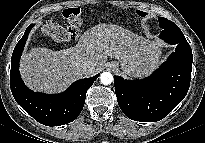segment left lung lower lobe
<instances>
[{"label":"left lung lower lobe","mask_w":205,"mask_h":143,"mask_svg":"<svg viewBox=\"0 0 205 143\" xmlns=\"http://www.w3.org/2000/svg\"><path fill=\"white\" fill-rule=\"evenodd\" d=\"M160 38L177 46L153 74L134 81L114 76L118 105L135 121L163 119L184 99L190 86L193 56L182 31L179 27L162 29Z\"/></svg>","instance_id":"left-lung-lower-lobe-1"}]
</instances>
